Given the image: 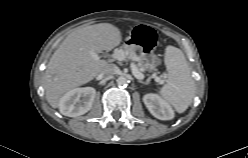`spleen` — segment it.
<instances>
[{"instance_id":"obj_1","label":"spleen","mask_w":248,"mask_h":158,"mask_svg":"<svg viewBox=\"0 0 248 158\" xmlns=\"http://www.w3.org/2000/svg\"><path fill=\"white\" fill-rule=\"evenodd\" d=\"M165 65L167 81L159 94L178 113H183L191 105L195 93V82L190 68L183 52L173 46L166 48Z\"/></svg>"}]
</instances>
